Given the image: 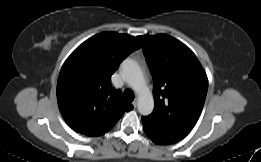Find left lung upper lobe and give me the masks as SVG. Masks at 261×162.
<instances>
[{
	"mask_svg": "<svg viewBox=\"0 0 261 162\" xmlns=\"http://www.w3.org/2000/svg\"><path fill=\"white\" fill-rule=\"evenodd\" d=\"M137 38L153 77L154 111L142 120L183 139L202 112L207 75L195 54L177 39L166 34Z\"/></svg>",
	"mask_w": 261,
	"mask_h": 162,
	"instance_id": "left-lung-upper-lobe-1",
	"label": "left lung upper lobe"
}]
</instances>
